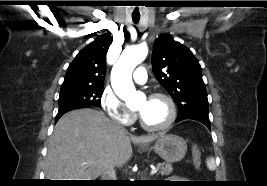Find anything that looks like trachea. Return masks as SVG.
Returning <instances> with one entry per match:
<instances>
[{
	"label": "trachea",
	"instance_id": "obj_1",
	"mask_svg": "<svg viewBox=\"0 0 267 186\" xmlns=\"http://www.w3.org/2000/svg\"><path fill=\"white\" fill-rule=\"evenodd\" d=\"M132 19H133V22H134V23H138L140 17H138V16H133Z\"/></svg>",
	"mask_w": 267,
	"mask_h": 186
}]
</instances>
